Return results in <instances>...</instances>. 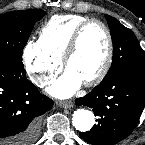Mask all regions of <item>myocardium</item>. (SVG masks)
Masks as SVG:
<instances>
[{
    "label": "myocardium",
    "mask_w": 145,
    "mask_h": 145,
    "mask_svg": "<svg viewBox=\"0 0 145 145\" xmlns=\"http://www.w3.org/2000/svg\"><path fill=\"white\" fill-rule=\"evenodd\" d=\"M91 24H98L103 28V30L106 34V38H107V52H106L104 62L102 64L101 68L99 69V71L91 78L87 79L86 81H83V84L88 87L97 85L105 78V76L107 75V73L110 70V67H111V64L113 61L114 43H113V37H112L111 31L108 28V26L103 21L96 19V18H89L86 21H84L83 23H81L75 29V31L69 41V44L65 50V53L62 57L63 66L65 69H67L71 58L73 57V55L76 53V51L78 49L79 42H80L83 31L85 30V28L87 26H89Z\"/></svg>",
    "instance_id": "1"
}]
</instances>
